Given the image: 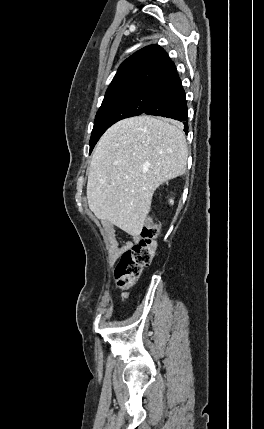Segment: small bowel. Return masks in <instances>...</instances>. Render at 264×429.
<instances>
[{"instance_id":"1","label":"small bowel","mask_w":264,"mask_h":429,"mask_svg":"<svg viewBox=\"0 0 264 429\" xmlns=\"http://www.w3.org/2000/svg\"><path fill=\"white\" fill-rule=\"evenodd\" d=\"M132 240L125 241L120 244L117 234L112 227H106L104 231V240L110 252L111 260H116L122 252L130 249L139 241V236L136 232H128Z\"/></svg>"}]
</instances>
